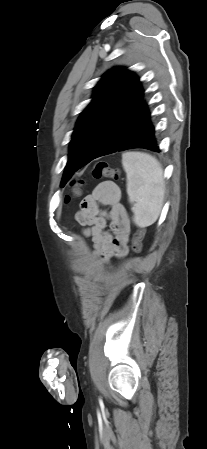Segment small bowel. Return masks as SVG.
I'll return each instance as SVG.
<instances>
[{
    "label": "small bowel",
    "instance_id": "1",
    "mask_svg": "<svg viewBox=\"0 0 207 449\" xmlns=\"http://www.w3.org/2000/svg\"><path fill=\"white\" fill-rule=\"evenodd\" d=\"M120 198L118 186L105 181L82 200L75 217L83 227L82 235L93 243V255L88 264L76 265V272L89 274L109 264L112 258L128 254L130 224ZM101 207H107L108 211Z\"/></svg>",
    "mask_w": 207,
    "mask_h": 449
}]
</instances>
